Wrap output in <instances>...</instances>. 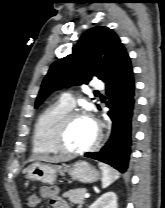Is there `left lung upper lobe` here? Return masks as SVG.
<instances>
[{
    "label": "left lung upper lobe",
    "instance_id": "obj_1",
    "mask_svg": "<svg viewBox=\"0 0 165 208\" xmlns=\"http://www.w3.org/2000/svg\"><path fill=\"white\" fill-rule=\"evenodd\" d=\"M117 34L108 27H94L85 32L72 53L55 61L44 78L35 102L37 108L53 91L87 84L96 76L106 81L127 56Z\"/></svg>",
    "mask_w": 165,
    "mask_h": 208
}]
</instances>
